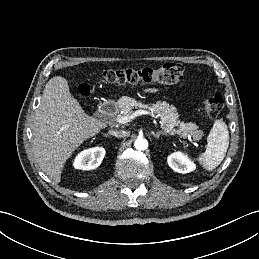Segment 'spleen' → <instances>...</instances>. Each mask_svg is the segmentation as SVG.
I'll return each instance as SVG.
<instances>
[{
    "label": "spleen",
    "mask_w": 259,
    "mask_h": 259,
    "mask_svg": "<svg viewBox=\"0 0 259 259\" xmlns=\"http://www.w3.org/2000/svg\"><path fill=\"white\" fill-rule=\"evenodd\" d=\"M229 146V132L222 119H216L207 137L206 151L198 160L207 171L214 170L223 161Z\"/></svg>",
    "instance_id": "1"
}]
</instances>
